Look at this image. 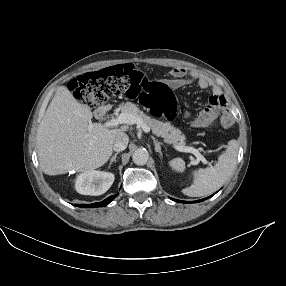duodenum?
<instances>
[{
    "instance_id": "1",
    "label": "duodenum",
    "mask_w": 286,
    "mask_h": 286,
    "mask_svg": "<svg viewBox=\"0 0 286 286\" xmlns=\"http://www.w3.org/2000/svg\"><path fill=\"white\" fill-rule=\"evenodd\" d=\"M110 108L107 107V106H102V107H99L96 111H95V115L97 118L99 119H103L106 114L109 112Z\"/></svg>"
}]
</instances>
